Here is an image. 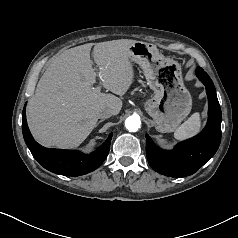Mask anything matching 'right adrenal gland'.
Listing matches in <instances>:
<instances>
[{
    "instance_id": "2a0ac1e0",
    "label": "right adrenal gland",
    "mask_w": 238,
    "mask_h": 238,
    "mask_svg": "<svg viewBox=\"0 0 238 238\" xmlns=\"http://www.w3.org/2000/svg\"><path fill=\"white\" fill-rule=\"evenodd\" d=\"M101 122H103V120L98 121L95 127H97Z\"/></svg>"
}]
</instances>
